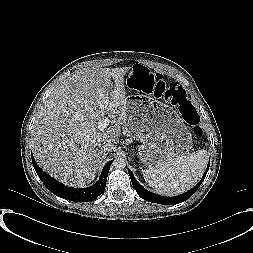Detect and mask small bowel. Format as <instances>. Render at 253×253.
<instances>
[{
    "mask_svg": "<svg viewBox=\"0 0 253 253\" xmlns=\"http://www.w3.org/2000/svg\"><path fill=\"white\" fill-rule=\"evenodd\" d=\"M161 75L150 72V77L147 79H134L132 80V86L135 89L145 91L148 93L157 94V84Z\"/></svg>",
    "mask_w": 253,
    "mask_h": 253,
    "instance_id": "1",
    "label": "small bowel"
}]
</instances>
